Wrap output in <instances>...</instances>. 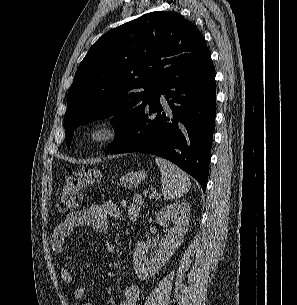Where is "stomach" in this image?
<instances>
[{"mask_svg": "<svg viewBox=\"0 0 297 305\" xmlns=\"http://www.w3.org/2000/svg\"><path fill=\"white\" fill-rule=\"evenodd\" d=\"M147 178V172L144 170L128 172L120 178V185L126 188H134Z\"/></svg>", "mask_w": 297, "mask_h": 305, "instance_id": "1", "label": "stomach"}]
</instances>
